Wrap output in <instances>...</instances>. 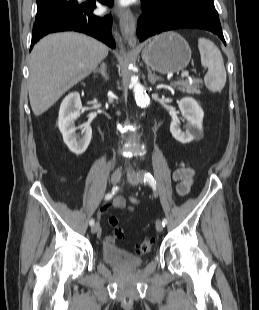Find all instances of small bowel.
<instances>
[{"label":"small bowel","mask_w":259,"mask_h":310,"mask_svg":"<svg viewBox=\"0 0 259 310\" xmlns=\"http://www.w3.org/2000/svg\"><path fill=\"white\" fill-rule=\"evenodd\" d=\"M194 170L184 164L176 163L173 171V180L176 183V191L180 197H184L188 194L190 187L193 183ZM131 202L135 203V199L131 198ZM126 205V201L122 196H117L113 198L109 206L121 209ZM107 210L106 206L101 207L100 212L104 213ZM98 237L103 240L105 246H112L114 244V238L112 236H104L102 229H98Z\"/></svg>","instance_id":"1"}]
</instances>
